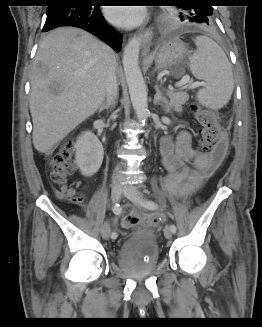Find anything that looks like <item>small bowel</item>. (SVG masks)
<instances>
[{
	"label": "small bowel",
	"mask_w": 262,
	"mask_h": 327,
	"mask_svg": "<svg viewBox=\"0 0 262 327\" xmlns=\"http://www.w3.org/2000/svg\"><path fill=\"white\" fill-rule=\"evenodd\" d=\"M160 150L167 170L165 188L177 195L184 196L194 192L218 165L207 164L209 155L192 147L191 135L187 131H181L175 140L164 137ZM78 203L83 204V199L78 197Z\"/></svg>",
	"instance_id": "c3829d8e"
}]
</instances>
